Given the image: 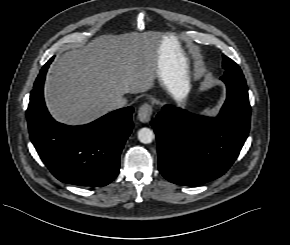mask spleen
Masks as SVG:
<instances>
[{
  "mask_svg": "<svg viewBox=\"0 0 290 245\" xmlns=\"http://www.w3.org/2000/svg\"><path fill=\"white\" fill-rule=\"evenodd\" d=\"M212 111H211V109H210V107H207V108H205L204 110H203V113L204 114H210Z\"/></svg>",
  "mask_w": 290,
  "mask_h": 245,
  "instance_id": "spleen-1",
  "label": "spleen"
}]
</instances>
